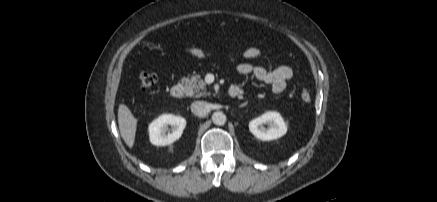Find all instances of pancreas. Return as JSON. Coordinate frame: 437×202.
<instances>
[{
	"label": "pancreas",
	"instance_id": "pancreas-1",
	"mask_svg": "<svg viewBox=\"0 0 437 202\" xmlns=\"http://www.w3.org/2000/svg\"><path fill=\"white\" fill-rule=\"evenodd\" d=\"M181 82L186 88V95L189 97L199 98L201 96L209 95L206 91V83L199 75H194L191 78H182Z\"/></svg>",
	"mask_w": 437,
	"mask_h": 202
}]
</instances>
